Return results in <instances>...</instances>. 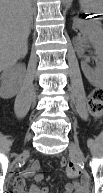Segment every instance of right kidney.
I'll return each instance as SVG.
<instances>
[{
    "label": "right kidney",
    "mask_w": 103,
    "mask_h": 193,
    "mask_svg": "<svg viewBox=\"0 0 103 193\" xmlns=\"http://www.w3.org/2000/svg\"><path fill=\"white\" fill-rule=\"evenodd\" d=\"M25 71V65H14L5 69L0 77V95L2 98H11L19 89L21 75Z\"/></svg>",
    "instance_id": "ca27d5eb"
}]
</instances>
